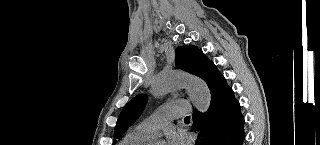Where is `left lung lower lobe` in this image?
<instances>
[{
  "label": "left lung lower lobe",
  "instance_id": "0a47b994",
  "mask_svg": "<svg viewBox=\"0 0 320 145\" xmlns=\"http://www.w3.org/2000/svg\"><path fill=\"white\" fill-rule=\"evenodd\" d=\"M199 77L210 89L211 103L206 113L193 111L192 130L202 135L196 140L197 145H242L244 118L233 90L211 61Z\"/></svg>",
  "mask_w": 320,
  "mask_h": 145
}]
</instances>
